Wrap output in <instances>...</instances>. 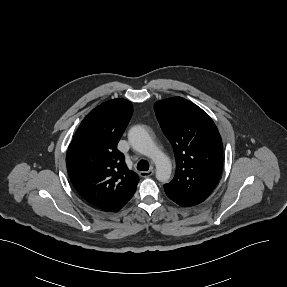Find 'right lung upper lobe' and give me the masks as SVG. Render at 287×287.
I'll return each instance as SVG.
<instances>
[{"label":"right lung upper lobe","mask_w":287,"mask_h":287,"mask_svg":"<svg viewBox=\"0 0 287 287\" xmlns=\"http://www.w3.org/2000/svg\"><path fill=\"white\" fill-rule=\"evenodd\" d=\"M132 109L125 99L102 103L83 119L69 146L66 164L70 180L76 191L97 208L136 190L138 175L128 170L117 150Z\"/></svg>","instance_id":"obj_1"}]
</instances>
